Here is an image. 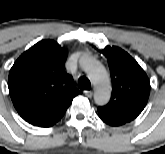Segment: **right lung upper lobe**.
<instances>
[{"instance_id":"cb5924a9","label":"right lung upper lobe","mask_w":165,"mask_h":154,"mask_svg":"<svg viewBox=\"0 0 165 154\" xmlns=\"http://www.w3.org/2000/svg\"><path fill=\"white\" fill-rule=\"evenodd\" d=\"M67 51L53 40H42L24 52L9 72V93L17 112L31 119L81 91L64 66Z\"/></svg>"}]
</instances>
